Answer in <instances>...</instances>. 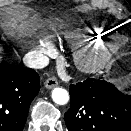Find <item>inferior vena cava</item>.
I'll use <instances>...</instances> for the list:
<instances>
[{
    "mask_svg": "<svg viewBox=\"0 0 131 131\" xmlns=\"http://www.w3.org/2000/svg\"><path fill=\"white\" fill-rule=\"evenodd\" d=\"M24 64L33 69H41L48 65L49 58L41 53L29 52L23 58Z\"/></svg>",
    "mask_w": 131,
    "mask_h": 131,
    "instance_id": "1",
    "label": "inferior vena cava"
}]
</instances>
